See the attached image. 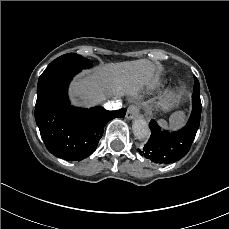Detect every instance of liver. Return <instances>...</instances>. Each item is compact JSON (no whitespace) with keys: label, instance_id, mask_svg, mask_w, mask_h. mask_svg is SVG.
<instances>
[{"label":"liver","instance_id":"1","mask_svg":"<svg viewBox=\"0 0 229 229\" xmlns=\"http://www.w3.org/2000/svg\"><path fill=\"white\" fill-rule=\"evenodd\" d=\"M160 69L159 64L154 68L147 60L103 65L80 76L73 86L72 95L78 103H83L87 100L101 102L112 94H134L142 84L148 88L153 86Z\"/></svg>","mask_w":229,"mask_h":229}]
</instances>
